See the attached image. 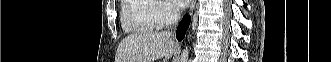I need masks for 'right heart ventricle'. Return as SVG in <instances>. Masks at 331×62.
<instances>
[{
  "label": "right heart ventricle",
  "mask_w": 331,
  "mask_h": 62,
  "mask_svg": "<svg viewBox=\"0 0 331 62\" xmlns=\"http://www.w3.org/2000/svg\"><path fill=\"white\" fill-rule=\"evenodd\" d=\"M152 6L147 0H126L123 3L121 20L126 30L151 32L155 28L150 22Z\"/></svg>",
  "instance_id": "obj_1"
}]
</instances>
